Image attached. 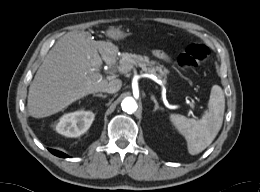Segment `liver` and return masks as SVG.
Masks as SVG:
<instances>
[{
  "mask_svg": "<svg viewBox=\"0 0 260 192\" xmlns=\"http://www.w3.org/2000/svg\"><path fill=\"white\" fill-rule=\"evenodd\" d=\"M112 31H107L111 38ZM113 50L116 47L111 43L95 44L88 32L64 35L45 56L30 84L29 114L47 117L88 94L102 91L108 82L99 70L102 59Z\"/></svg>",
  "mask_w": 260,
  "mask_h": 192,
  "instance_id": "6515ba94",
  "label": "liver"
}]
</instances>
